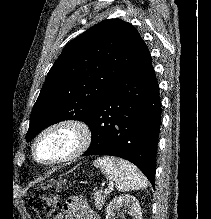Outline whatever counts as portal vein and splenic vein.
Segmentation results:
<instances>
[{
  "label": "portal vein and splenic vein",
  "instance_id": "18ae733b",
  "mask_svg": "<svg viewBox=\"0 0 211 219\" xmlns=\"http://www.w3.org/2000/svg\"><path fill=\"white\" fill-rule=\"evenodd\" d=\"M100 192H102V191H100ZM111 192V188H106L105 190H104V193H106V194H108V193H110Z\"/></svg>",
  "mask_w": 211,
  "mask_h": 219
}]
</instances>
